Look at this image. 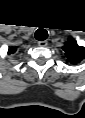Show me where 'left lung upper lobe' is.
Here are the masks:
<instances>
[{
	"instance_id": "1",
	"label": "left lung upper lobe",
	"mask_w": 85,
	"mask_h": 118,
	"mask_svg": "<svg viewBox=\"0 0 85 118\" xmlns=\"http://www.w3.org/2000/svg\"><path fill=\"white\" fill-rule=\"evenodd\" d=\"M63 50L66 52L68 59L75 58V51L73 50V48L71 46H65V47H63ZM72 62H73V60H72Z\"/></svg>"
}]
</instances>
